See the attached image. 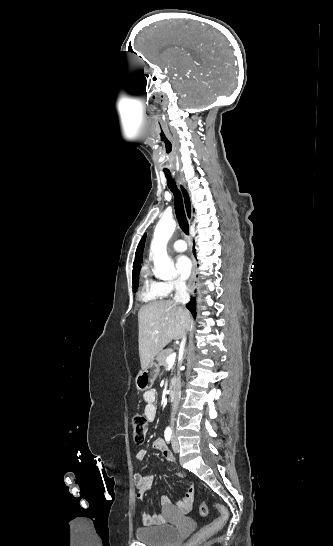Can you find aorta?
<instances>
[{"mask_svg": "<svg viewBox=\"0 0 333 546\" xmlns=\"http://www.w3.org/2000/svg\"><path fill=\"white\" fill-rule=\"evenodd\" d=\"M176 227L173 219L162 218L154 231L151 244L155 275L161 279H172L175 276V268L167 255L166 245Z\"/></svg>", "mask_w": 333, "mask_h": 546, "instance_id": "762f6f07", "label": "aorta"}]
</instances>
